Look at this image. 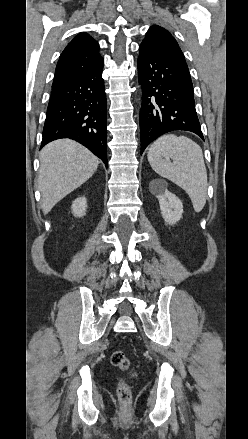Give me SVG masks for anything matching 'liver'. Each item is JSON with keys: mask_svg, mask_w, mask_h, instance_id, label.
Wrapping results in <instances>:
<instances>
[{"mask_svg": "<svg viewBox=\"0 0 248 439\" xmlns=\"http://www.w3.org/2000/svg\"><path fill=\"white\" fill-rule=\"evenodd\" d=\"M38 187L44 215L97 170L99 159L81 144L59 139L40 152Z\"/></svg>", "mask_w": 248, "mask_h": 439, "instance_id": "6515ba94", "label": "liver"}]
</instances>
